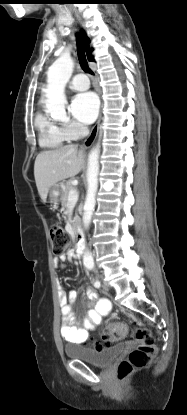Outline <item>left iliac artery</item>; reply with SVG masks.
<instances>
[{
    "label": "left iliac artery",
    "mask_w": 187,
    "mask_h": 415,
    "mask_svg": "<svg viewBox=\"0 0 187 415\" xmlns=\"http://www.w3.org/2000/svg\"><path fill=\"white\" fill-rule=\"evenodd\" d=\"M88 268H89L90 270H94V269H95L93 264H92V265H90V266H88ZM94 286H95L96 288H99V287H100V282H99V281H96V282L94 283Z\"/></svg>",
    "instance_id": "left-iliac-artery-1"
}]
</instances>
